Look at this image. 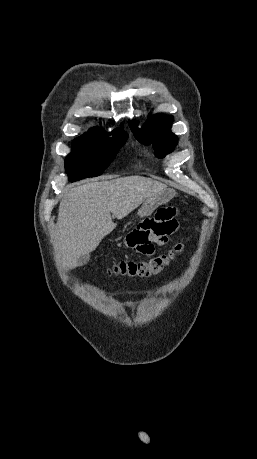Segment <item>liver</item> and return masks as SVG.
<instances>
[{
	"mask_svg": "<svg viewBox=\"0 0 257 459\" xmlns=\"http://www.w3.org/2000/svg\"><path fill=\"white\" fill-rule=\"evenodd\" d=\"M167 186L142 176H127L91 182L73 188L60 201L53 236L57 264L74 269L77 260L94 251L116 223L111 213L122 219L145 199Z\"/></svg>",
	"mask_w": 257,
	"mask_h": 459,
	"instance_id": "liver-1",
	"label": "liver"
}]
</instances>
